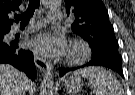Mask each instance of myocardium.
<instances>
[{
    "label": "myocardium",
    "instance_id": "myocardium-1",
    "mask_svg": "<svg viewBox=\"0 0 135 95\" xmlns=\"http://www.w3.org/2000/svg\"><path fill=\"white\" fill-rule=\"evenodd\" d=\"M91 54V48L87 41L74 39L70 43L66 61L69 64H79L86 60Z\"/></svg>",
    "mask_w": 135,
    "mask_h": 95
}]
</instances>
